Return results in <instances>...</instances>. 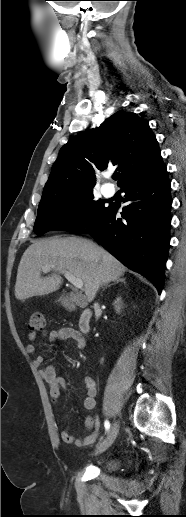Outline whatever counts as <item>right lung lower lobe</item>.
<instances>
[{"mask_svg":"<svg viewBox=\"0 0 186 517\" xmlns=\"http://www.w3.org/2000/svg\"><path fill=\"white\" fill-rule=\"evenodd\" d=\"M122 219L106 207L92 223L77 232L90 234L124 265L153 282L161 293L170 231V180L165 164L124 184Z\"/></svg>","mask_w":186,"mask_h":517,"instance_id":"98d812e1","label":"right lung lower lobe"}]
</instances>
